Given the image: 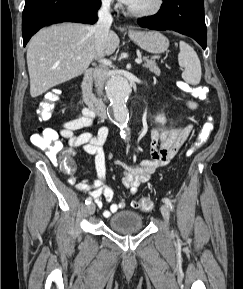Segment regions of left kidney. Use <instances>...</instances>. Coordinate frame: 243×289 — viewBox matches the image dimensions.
<instances>
[{
	"instance_id": "5707ae66",
	"label": "left kidney",
	"mask_w": 243,
	"mask_h": 289,
	"mask_svg": "<svg viewBox=\"0 0 243 289\" xmlns=\"http://www.w3.org/2000/svg\"><path fill=\"white\" fill-rule=\"evenodd\" d=\"M155 120H156V122H158L162 125H164L166 123V118L164 117L163 114L158 115Z\"/></svg>"
}]
</instances>
